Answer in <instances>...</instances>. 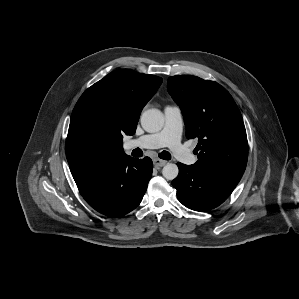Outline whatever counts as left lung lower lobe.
I'll return each mask as SVG.
<instances>
[{"mask_svg":"<svg viewBox=\"0 0 299 299\" xmlns=\"http://www.w3.org/2000/svg\"><path fill=\"white\" fill-rule=\"evenodd\" d=\"M179 174L172 181L179 201L189 209L208 211L223 203L237 184L207 174L193 165L177 164Z\"/></svg>","mask_w":299,"mask_h":299,"instance_id":"left-lung-lower-lobe-1","label":"left lung lower lobe"}]
</instances>
